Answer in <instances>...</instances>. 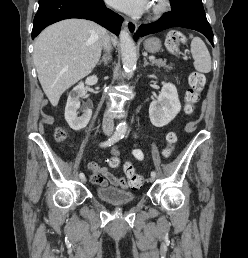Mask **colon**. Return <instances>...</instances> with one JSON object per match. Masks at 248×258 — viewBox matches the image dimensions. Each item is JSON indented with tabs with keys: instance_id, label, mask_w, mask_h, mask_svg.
Returning <instances> with one entry per match:
<instances>
[{
	"instance_id": "obj_1",
	"label": "colon",
	"mask_w": 248,
	"mask_h": 258,
	"mask_svg": "<svg viewBox=\"0 0 248 258\" xmlns=\"http://www.w3.org/2000/svg\"><path fill=\"white\" fill-rule=\"evenodd\" d=\"M184 38L179 32H172L166 41V46L168 50L173 54L180 53V45L183 43ZM189 87L185 93V105L184 111L187 115H191L194 112L196 104L199 102L201 93L205 86V76L198 71H193L190 73L189 78ZM67 137V130L64 127H58L55 130V138L58 141H63ZM176 142V134L170 132L167 135V147L165 148L163 155L169 157L172 153L174 143ZM112 154L108 159L109 165L112 167V170H119L120 157L118 150L121 149L120 145L112 146ZM121 168L125 169V173L130 180V184L134 188H139L144 182V176L137 174L135 172V163L133 158H125L124 161H121Z\"/></svg>"
}]
</instances>
